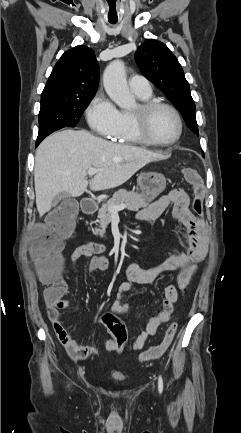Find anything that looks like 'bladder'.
<instances>
[{
	"instance_id": "31cf9c89",
	"label": "bladder",
	"mask_w": 241,
	"mask_h": 433,
	"mask_svg": "<svg viewBox=\"0 0 241 433\" xmlns=\"http://www.w3.org/2000/svg\"><path fill=\"white\" fill-rule=\"evenodd\" d=\"M113 379H115L116 381L122 382L124 380L123 376H121L120 374H112Z\"/></svg>"
}]
</instances>
